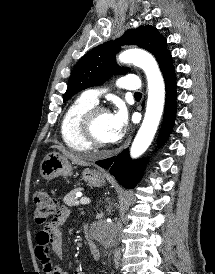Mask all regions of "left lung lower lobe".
<instances>
[{"instance_id":"obj_1","label":"left lung lower lobe","mask_w":215,"mask_h":274,"mask_svg":"<svg viewBox=\"0 0 215 274\" xmlns=\"http://www.w3.org/2000/svg\"><path fill=\"white\" fill-rule=\"evenodd\" d=\"M166 86V104L163 124L161 127L159 141L162 143L170 133L176 115V79L174 67L163 74ZM103 168L110 167V173L118 182L126 188H134L142 176L145 160L131 161L128 149L117 157L108 158L96 162Z\"/></svg>"}]
</instances>
